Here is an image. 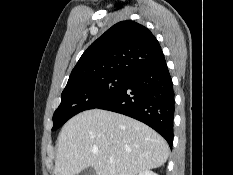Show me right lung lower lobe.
Masks as SVG:
<instances>
[{
	"instance_id": "right-lung-lower-lobe-1",
	"label": "right lung lower lobe",
	"mask_w": 233,
	"mask_h": 175,
	"mask_svg": "<svg viewBox=\"0 0 233 175\" xmlns=\"http://www.w3.org/2000/svg\"><path fill=\"white\" fill-rule=\"evenodd\" d=\"M137 119L173 144L174 91L164 56L139 69L112 99L97 107Z\"/></svg>"
}]
</instances>
